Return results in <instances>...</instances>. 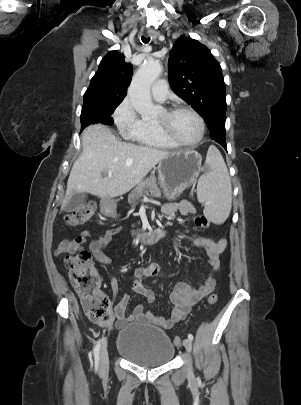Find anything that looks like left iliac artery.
<instances>
[{
	"label": "left iliac artery",
	"instance_id": "left-iliac-artery-1",
	"mask_svg": "<svg viewBox=\"0 0 301 405\" xmlns=\"http://www.w3.org/2000/svg\"><path fill=\"white\" fill-rule=\"evenodd\" d=\"M193 335L192 334H188V339H190L191 341L193 340Z\"/></svg>",
	"mask_w": 301,
	"mask_h": 405
}]
</instances>
